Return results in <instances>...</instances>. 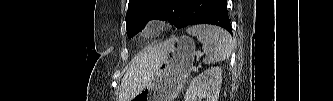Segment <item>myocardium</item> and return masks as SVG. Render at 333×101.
Returning a JSON list of instances; mask_svg holds the SVG:
<instances>
[{
    "label": "myocardium",
    "instance_id": "obj_1",
    "mask_svg": "<svg viewBox=\"0 0 333 101\" xmlns=\"http://www.w3.org/2000/svg\"><path fill=\"white\" fill-rule=\"evenodd\" d=\"M165 27V22L161 18H152L148 20L141 29L144 37H152L161 32Z\"/></svg>",
    "mask_w": 333,
    "mask_h": 101
}]
</instances>
